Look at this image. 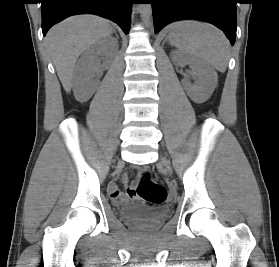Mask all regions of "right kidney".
I'll return each instance as SVG.
<instances>
[{
	"mask_svg": "<svg viewBox=\"0 0 279 267\" xmlns=\"http://www.w3.org/2000/svg\"><path fill=\"white\" fill-rule=\"evenodd\" d=\"M117 50L116 39H112V42H108L107 39L98 41L86 50L74 76V93L79 101H87L96 90V82L92 73L98 65V55L107 53L108 56H113Z\"/></svg>",
	"mask_w": 279,
	"mask_h": 267,
	"instance_id": "ca27d5eb",
	"label": "right kidney"
}]
</instances>
